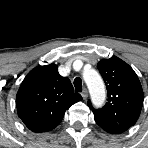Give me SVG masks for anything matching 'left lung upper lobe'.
Here are the masks:
<instances>
[{
    "mask_svg": "<svg viewBox=\"0 0 148 148\" xmlns=\"http://www.w3.org/2000/svg\"><path fill=\"white\" fill-rule=\"evenodd\" d=\"M97 67L105 81L108 99L100 109H94L90 100L87 105L101 128L122 133L139 118L144 100L141 83L134 70L116 56L99 61Z\"/></svg>",
    "mask_w": 148,
    "mask_h": 148,
    "instance_id": "1",
    "label": "left lung upper lobe"
}]
</instances>
